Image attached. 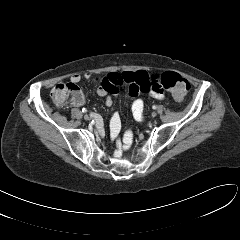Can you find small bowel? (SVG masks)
I'll return each mask as SVG.
<instances>
[{"instance_id":"small-bowel-1","label":"small bowel","mask_w":240,"mask_h":240,"mask_svg":"<svg viewBox=\"0 0 240 240\" xmlns=\"http://www.w3.org/2000/svg\"><path fill=\"white\" fill-rule=\"evenodd\" d=\"M85 79H91V74L86 73L83 76ZM82 79L80 74H73L70 76L72 83H78ZM101 85L97 88V95L102 97L106 105L110 106L113 103V95L117 94L119 88L123 85H128V93L134 98L132 103V113L136 121L144 120V102L138 97L140 93L148 94L157 100H163L165 97L163 87L159 82V75L156 73H149L147 71H126L122 73H109L101 79ZM84 96L72 101L74 106H81L84 104ZM96 126L100 131H103V120L98 114H93ZM120 131V117L118 113H114L111 119L112 136H117Z\"/></svg>"}]
</instances>
